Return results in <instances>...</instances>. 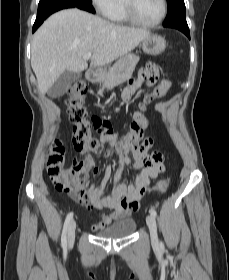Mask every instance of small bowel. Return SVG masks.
Returning a JSON list of instances; mask_svg holds the SVG:
<instances>
[{
	"instance_id": "c3829d8e",
	"label": "small bowel",
	"mask_w": 229,
	"mask_h": 280,
	"mask_svg": "<svg viewBox=\"0 0 229 280\" xmlns=\"http://www.w3.org/2000/svg\"><path fill=\"white\" fill-rule=\"evenodd\" d=\"M159 77V69L155 65H148L142 68L137 76L129 80L122 98L125 102L131 101L143 84H153ZM164 85L170 86L168 80H164L162 85L157 86L154 91L147 95L145 101L140 105L142 112L146 111L147 104L154 99L163 97L166 93ZM142 114V113H141ZM99 141L101 143L116 145V136L105 131H99ZM153 139L146 138L140 145L135 148H127L125 152L118 157V166L113 175V189L111 194L105 195V184L111 177V169L109 166L100 169L90 155L83 160H74V165L67 170L66 181L72 183L76 187L75 192H67L69 197L76 203L87 207L88 209L106 210L99 223L93 226L95 232L105 229L114 220L130 216L138 209L132 205L133 200H139V190L148 185L150 180L156 177L157 173H153L144 167V160L148 156ZM132 163L134 170H140L131 184L126 181L119 182L124 165ZM101 173V182L99 185H85L87 182L89 171Z\"/></svg>"
}]
</instances>
